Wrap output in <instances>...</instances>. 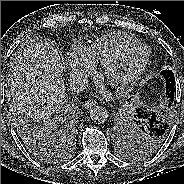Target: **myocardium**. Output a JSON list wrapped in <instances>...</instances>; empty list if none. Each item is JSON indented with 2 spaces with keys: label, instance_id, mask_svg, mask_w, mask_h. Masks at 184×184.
Listing matches in <instances>:
<instances>
[{
  "label": "myocardium",
  "instance_id": "obj_1",
  "mask_svg": "<svg viewBox=\"0 0 184 184\" xmlns=\"http://www.w3.org/2000/svg\"><path fill=\"white\" fill-rule=\"evenodd\" d=\"M134 50L143 51V58L138 67L125 79L120 82H113L110 80V73L114 67H116L130 52ZM150 58L149 50L146 46L141 43H134L124 47L122 50L117 52L113 57H111L107 62L103 64L101 75L105 80L115 89L120 91H126L133 87L141 78L146 70Z\"/></svg>",
  "mask_w": 184,
  "mask_h": 184
}]
</instances>
